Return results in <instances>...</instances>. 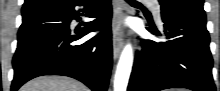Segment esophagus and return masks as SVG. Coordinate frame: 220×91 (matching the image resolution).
<instances>
[{"mask_svg": "<svg viewBox=\"0 0 220 91\" xmlns=\"http://www.w3.org/2000/svg\"><path fill=\"white\" fill-rule=\"evenodd\" d=\"M125 9L124 0H115L114 19H113V56L117 59L122 51L124 44V31L122 26L123 10Z\"/></svg>", "mask_w": 220, "mask_h": 91, "instance_id": "1", "label": "esophagus"}]
</instances>
